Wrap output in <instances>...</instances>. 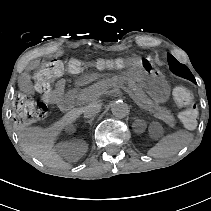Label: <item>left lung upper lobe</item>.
Returning <instances> with one entry per match:
<instances>
[{
	"label": "left lung upper lobe",
	"instance_id": "1",
	"mask_svg": "<svg viewBox=\"0 0 211 211\" xmlns=\"http://www.w3.org/2000/svg\"><path fill=\"white\" fill-rule=\"evenodd\" d=\"M167 58H168L169 68L174 74H176L180 77H183L185 79H188L194 83L196 82L193 74L191 73V71L189 70V68L186 65L179 63L169 53L167 54Z\"/></svg>",
	"mask_w": 211,
	"mask_h": 211
}]
</instances>
